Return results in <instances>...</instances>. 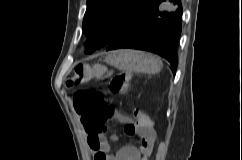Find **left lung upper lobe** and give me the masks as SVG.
I'll return each mask as SVG.
<instances>
[{
  "label": "left lung upper lobe",
  "instance_id": "left-lung-upper-lobe-1",
  "mask_svg": "<svg viewBox=\"0 0 242 160\" xmlns=\"http://www.w3.org/2000/svg\"><path fill=\"white\" fill-rule=\"evenodd\" d=\"M151 0H87L83 31L86 53L107 46L140 15Z\"/></svg>",
  "mask_w": 242,
  "mask_h": 160
}]
</instances>
